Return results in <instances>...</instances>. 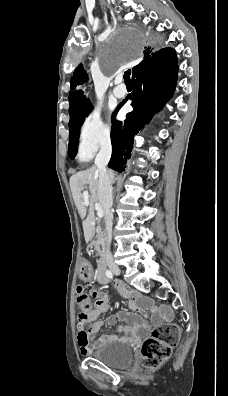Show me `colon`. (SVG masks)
Wrapping results in <instances>:
<instances>
[{
  "label": "colon",
  "instance_id": "colon-1",
  "mask_svg": "<svg viewBox=\"0 0 228 396\" xmlns=\"http://www.w3.org/2000/svg\"><path fill=\"white\" fill-rule=\"evenodd\" d=\"M76 302L79 308L78 324L84 327L95 309V302L82 286L77 287ZM179 333V327L173 323H164L154 328L141 345V364L147 368L161 365L177 345Z\"/></svg>",
  "mask_w": 228,
  "mask_h": 396
}]
</instances>
